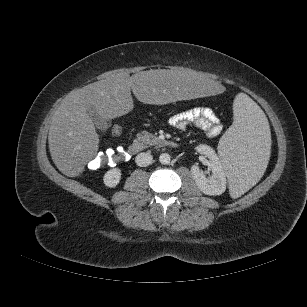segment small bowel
Segmentation results:
<instances>
[{
	"label": "small bowel",
	"mask_w": 307,
	"mask_h": 307,
	"mask_svg": "<svg viewBox=\"0 0 307 307\" xmlns=\"http://www.w3.org/2000/svg\"><path fill=\"white\" fill-rule=\"evenodd\" d=\"M169 124L178 130H186L190 126H195L209 137H216L222 132V124L216 113L209 107H196L169 118Z\"/></svg>",
	"instance_id": "obj_1"
}]
</instances>
